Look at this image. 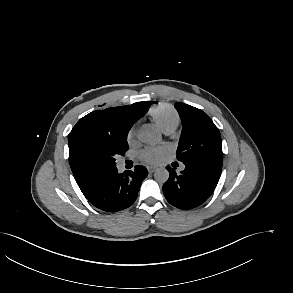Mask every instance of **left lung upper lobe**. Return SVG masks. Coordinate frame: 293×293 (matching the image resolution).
<instances>
[{"label": "left lung upper lobe", "instance_id": "1", "mask_svg": "<svg viewBox=\"0 0 293 293\" xmlns=\"http://www.w3.org/2000/svg\"><path fill=\"white\" fill-rule=\"evenodd\" d=\"M175 108L182 122V133L176 152L179 161H205L222 166L221 136L210 117L202 110L177 102Z\"/></svg>", "mask_w": 293, "mask_h": 293}]
</instances>
